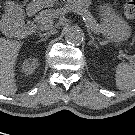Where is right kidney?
<instances>
[{
    "label": "right kidney",
    "mask_w": 135,
    "mask_h": 135,
    "mask_svg": "<svg viewBox=\"0 0 135 135\" xmlns=\"http://www.w3.org/2000/svg\"><path fill=\"white\" fill-rule=\"evenodd\" d=\"M37 66L38 61L36 59H32L30 61L25 60L21 66V71L26 75H30L34 72Z\"/></svg>",
    "instance_id": "ca27d5eb"
}]
</instances>
